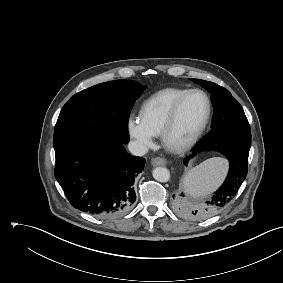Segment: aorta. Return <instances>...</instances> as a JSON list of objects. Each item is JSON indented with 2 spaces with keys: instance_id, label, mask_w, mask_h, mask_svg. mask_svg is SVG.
I'll list each match as a JSON object with an SVG mask.
<instances>
[{
  "instance_id": "aorta-1",
  "label": "aorta",
  "mask_w": 283,
  "mask_h": 283,
  "mask_svg": "<svg viewBox=\"0 0 283 283\" xmlns=\"http://www.w3.org/2000/svg\"><path fill=\"white\" fill-rule=\"evenodd\" d=\"M153 177L159 182H167L170 179V172L165 167H156L153 170Z\"/></svg>"
}]
</instances>
